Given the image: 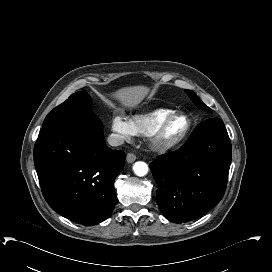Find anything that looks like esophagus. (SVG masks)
Masks as SVG:
<instances>
[{
    "instance_id": "34e87169",
    "label": "esophagus",
    "mask_w": 272,
    "mask_h": 272,
    "mask_svg": "<svg viewBox=\"0 0 272 272\" xmlns=\"http://www.w3.org/2000/svg\"><path fill=\"white\" fill-rule=\"evenodd\" d=\"M136 160V156L133 154V153H128L127 155H126V161L128 162V163H132V162H134Z\"/></svg>"
}]
</instances>
